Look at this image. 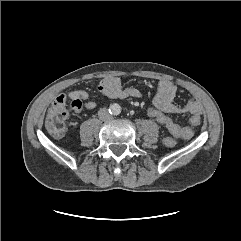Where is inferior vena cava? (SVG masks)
I'll use <instances>...</instances> for the list:
<instances>
[{
  "label": "inferior vena cava",
  "instance_id": "obj_1",
  "mask_svg": "<svg viewBox=\"0 0 241 241\" xmlns=\"http://www.w3.org/2000/svg\"><path fill=\"white\" fill-rule=\"evenodd\" d=\"M98 117L102 121H109L112 119V115L109 113L108 109L101 108L98 112Z\"/></svg>",
  "mask_w": 241,
  "mask_h": 241
}]
</instances>
